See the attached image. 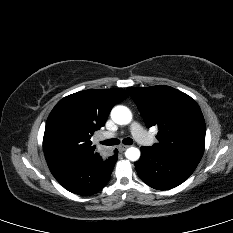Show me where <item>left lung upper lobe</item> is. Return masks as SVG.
<instances>
[{
  "label": "left lung upper lobe",
  "instance_id": "5c2ea615",
  "mask_svg": "<svg viewBox=\"0 0 233 233\" xmlns=\"http://www.w3.org/2000/svg\"><path fill=\"white\" fill-rule=\"evenodd\" d=\"M127 90L147 127L159 129L154 149L203 154L206 127L194 99L170 86L128 87Z\"/></svg>",
  "mask_w": 233,
  "mask_h": 233
}]
</instances>
